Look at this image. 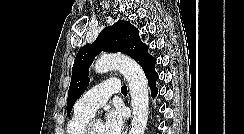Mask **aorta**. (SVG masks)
Returning <instances> with one entry per match:
<instances>
[{
  "label": "aorta",
  "instance_id": "1",
  "mask_svg": "<svg viewBox=\"0 0 244 134\" xmlns=\"http://www.w3.org/2000/svg\"><path fill=\"white\" fill-rule=\"evenodd\" d=\"M118 69L128 82L131 94L132 114L129 134H144L149 108V88L141 66L133 59L123 55H105L94 65L96 73Z\"/></svg>",
  "mask_w": 244,
  "mask_h": 134
}]
</instances>
